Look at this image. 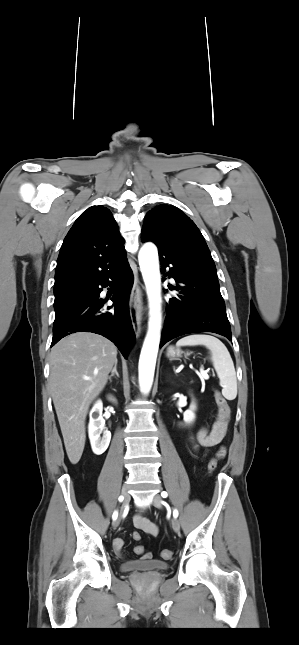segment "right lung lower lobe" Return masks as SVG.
Listing matches in <instances>:
<instances>
[{
  "label": "right lung lower lobe",
  "instance_id": "98d812e1",
  "mask_svg": "<svg viewBox=\"0 0 299 645\" xmlns=\"http://www.w3.org/2000/svg\"><path fill=\"white\" fill-rule=\"evenodd\" d=\"M133 281V273L126 259L114 271L85 284L83 296L55 315L51 346L69 334L93 332L115 343L126 358L135 341L128 308ZM100 286L114 287L111 298L115 307L113 312H102L105 300L99 298L102 291Z\"/></svg>",
  "mask_w": 299,
  "mask_h": 645
}]
</instances>
